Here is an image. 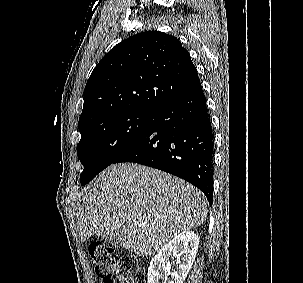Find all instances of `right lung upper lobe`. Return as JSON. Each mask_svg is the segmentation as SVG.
Instances as JSON below:
<instances>
[{
    "instance_id": "cb5924a9",
    "label": "right lung upper lobe",
    "mask_w": 303,
    "mask_h": 283,
    "mask_svg": "<svg viewBox=\"0 0 303 283\" xmlns=\"http://www.w3.org/2000/svg\"><path fill=\"white\" fill-rule=\"evenodd\" d=\"M199 83L176 37L154 30L136 34L111 49L91 73L79 131L119 113L154 112Z\"/></svg>"
}]
</instances>
